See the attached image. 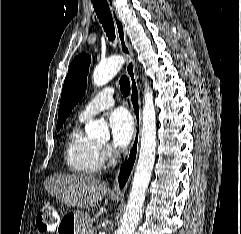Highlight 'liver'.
Masks as SVG:
<instances>
[{"label": "liver", "instance_id": "obj_1", "mask_svg": "<svg viewBox=\"0 0 241 234\" xmlns=\"http://www.w3.org/2000/svg\"><path fill=\"white\" fill-rule=\"evenodd\" d=\"M44 187L61 203L79 208L95 207L109 190L104 181L85 174H54L44 181Z\"/></svg>", "mask_w": 241, "mask_h": 234}]
</instances>
